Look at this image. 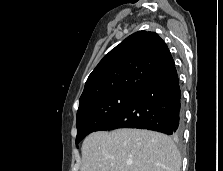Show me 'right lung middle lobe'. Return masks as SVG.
Segmentation results:
<instances>
[{"label":"right lung middle lobe","instance_id":"1","mask_svg":"<svg viewBox=\"0 0 223 171\" xmlns=\"http://www.w3.org/2000/svg\"><path fill=\"white\" fill-rule=\"evenodd\" d=\"M138 93L115 92L96 98L79 107L77 112L76 145L88 134L118 114Z\"/></svg>","mask_w":223,"mask_h":171}]
</instances>
